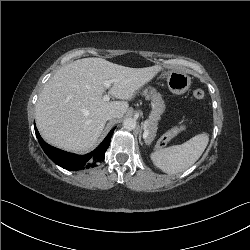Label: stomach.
I'll list each match as a JSON object with an SVG mask.
<instances>
[{
  "label": "stomach",
  "mask_w": 250,
  "mask_h": 250,
  "mask_svg": "<svg viewBox=\"0 0 250 250\" xmlns=\"http://www.w3.org/2000/svg\"><path fill=\"white\" fill-rule=\"evenodd\" d=\"M161 73L166 77L168 88L173 94H184L190 88L191 78L185 72L162 70Z\"/></svg>",
  "instance_id": "0dacf381"
}]
</instances>
